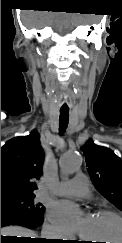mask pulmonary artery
I'll return each mask as SVG.
<instances>
[{
  "label": "pulmonary artery",
  "mask_w": 122,
  "mask_h": 243,
  "mask_svg": "<svg viewBox=\"0 0 122 243\" xmlns=\"http://www.w3.org/2000/svg\"><path fill=\"white\" fill-rule=\"evenodd\" d=\"M53 193L62 196H87L90 193L88 181L83 174H77L72 180L59 183Z\"/></svg>",
  "instance_id": "pulmonary-artery-1"
}]
</instances>
